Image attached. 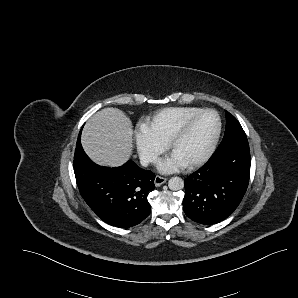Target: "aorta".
Listing matches in <instances>:
<instances>
[{"instance_id":"1","label":"aorta","mask_w":298,"mask_h":298,"mask_svg":"<svg viewBox=\"0 0 298 298\" xmlns=\"http://www.w3.org/2000/svg\"><path fill=\"white\" fill-rule=\"evenodd\" d=\"M168 187L172 191H178L184 188V180L181 177L174 176L168 180Z\"/></svg>"}]
</instances>
